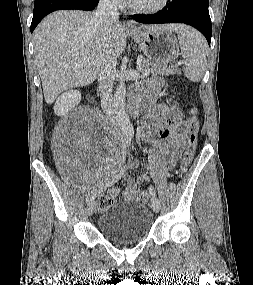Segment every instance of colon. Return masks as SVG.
Wrapping results in <instances>:
<instances>
[{"mask_svg": "<svg viewBox=\"0 0 253 285\" xmlns=\"http://www.w3.org/2000/svg\"><path fill=\"white\" fill-rule=\"evenodd\" d=\"M198 132H199V120L197 117V109L193 108L191 110V115L187 121V144L185 148V152L182 158V161L177 169V175L179 177L183 176L190 166L195 151L197 148V141H198ZM140 198L143 202H147L149 198V194L147 191H143L140 195ZM114 199L109 195L101 196L99 198V206L101 208H106L113 203Z\"/></svg>", "mask_w": 253, "mask_h": 285, "instance_id": "1", "label": "colon"}]
</instances>
